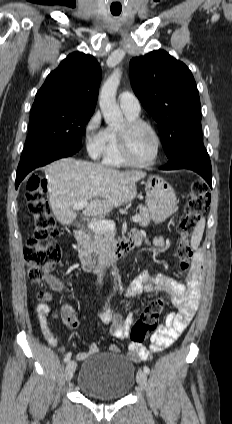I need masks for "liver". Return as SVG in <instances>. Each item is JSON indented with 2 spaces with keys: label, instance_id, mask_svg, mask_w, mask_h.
Wrapping results in <instances>:
<instances>
[{
  "label": "liver",
  "instance_id": "liver-1",
  "mask_svg": "<svg viewBox=\"0 0 232 424\" xmlns=\"http://www.w3.org/2000/svg\"><path fill=\"white\" fill-rule=\"evenodd\" d=\"M49 175V205L61 224L72 223L77 214L73 204L87 201L82 214L105 215L137 194L136 182L146 177L144 171H119L99 164L62 158L46 167Z\"/></svg>",
  "mask_w": 232,
  "mask_h": 424
}]
</instances>
